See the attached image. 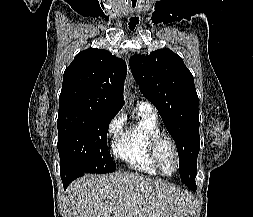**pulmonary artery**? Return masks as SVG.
Masks as SVG:
<instances>
[{
  "label": "pulmonary artery",
  "instance_id": "pulmonary-artery-1",
  "mask_svg": "<svg viewBox=\"0 0 253 217\" xmlns=\"http://www.w3.org/2000/svg\"><path fill=\"white\" fill-rule=\"evenodd\" d=\"M137 107L143 108L149 111L150 113L157 115L155 107L148 101L139 100L137 103Z\"/></svg>",
  "mask_w": 253,
  "mask_h": 217
}]
</instances>
